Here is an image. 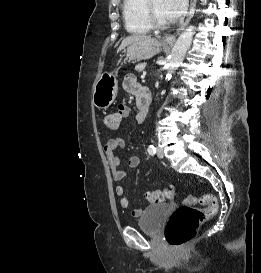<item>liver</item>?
<instances>
[{
    "label": "liver",
    "instance_id": "liver-1",
    "mask_svg": "<svg viewBox=\"0 0 261 273\" xmlns=\"http://www.w3.org/2000/svg\"><path fill=\"white\" fill-rule=\"evenodd\" d=\"M150 38H151V36H147V35H131V36H128L122 41L118 51H121L122 49L126 48L131 43H134V42L140 41V40L150 39Z\"/></svg>",
    "mask_w": 261,
    "mask_h": 273
}]
</instances>
